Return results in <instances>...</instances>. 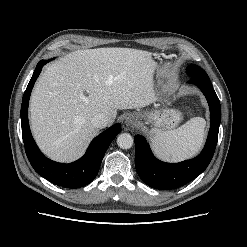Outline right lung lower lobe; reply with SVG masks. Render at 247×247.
<instances>
[{
    "label": "right lung lower lobe",
    "mask_w": 247,
    "mask_h": 247,
    "mask_svg": "<svg viewBox=\"0 0 247 247\" xmlns=\"http://www.w3.org/2000/svg\"><path fill=\"white\" fill-rule=\"evenodd\" d=\"M50 60L38 62L33 76L23 95L21 106L22 137L27 157L34 170L55 185L66 188H79L89 184L97 175L103 156L112 140L120 132L119 123L93 139L86 153L77 161L61 164L46 158L37 147L29 128L28 103L29 97L42 67Z\"/></svg>",
    "instance_id": "right-lung-lower-lobe-1"
}]
</instances>
